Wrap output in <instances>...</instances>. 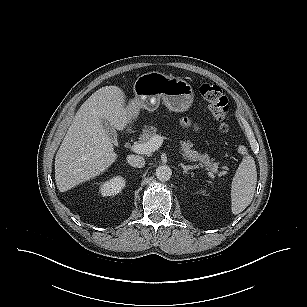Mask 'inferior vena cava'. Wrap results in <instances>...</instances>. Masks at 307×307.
<instances>
[{
	"label": "inferior vena cava",
	"instance_id": "inferior-vena-cava-1",
	"mask_svg": "<svg viewBox=\"0 0 307 307\" xmlns=\"http://www.w3.org/2000/svg\"><path fill=\"white\" fill-rule=\"evenodd\" d=\"M127 162L132 167L142 168L145 166V159L139 155H133V154L128 155Z\"/></svg>",
	"mask_w": 307,
	"mask_h": 307
}]
</instances>
